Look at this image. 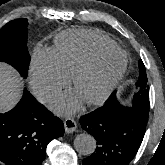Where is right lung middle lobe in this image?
<instances>
[{"label": "right lung middle lobe", "mask_w": 165, "mask_h": 165, "mask_svg": "<svg viewBox=\"0 0 165 165\" xmlns=\"http://www.w3.org/2000/svg\"><path fill=\"white\" fill-rule=\"evenodd\" d=\"M27 19L13 20L0 30V62L15 67L23 77L28 74Z\"/></svg>", "instance_id": "dd1d6c3e"}]
</instances>
